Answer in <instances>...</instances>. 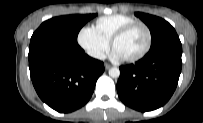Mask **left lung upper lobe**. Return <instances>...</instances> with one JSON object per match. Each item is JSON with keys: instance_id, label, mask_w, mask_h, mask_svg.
Listing matches in <instances>:
<instances>
[{"instance_id": "obj_1", "label": "left lung upper lobe", "mask_w": 203, "mask_h": 123, "mask_svg": "<svg viewBox=\"0 0 203 123\" xmlns=\"http://www.w3.org/2000/svg\"><path fill=\"white\" fill-rule=\"evenodd\" d=\"M150 29L151 49L161 46L169 41L178 40L179 37L170 23L157 16L137 12L135 13Z\"/></svg>"}]
</instances>
